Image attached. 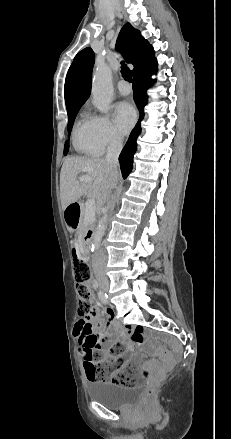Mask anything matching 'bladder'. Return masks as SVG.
<instances>
[{"instance_id":"1","label":"bladder","mask_w":231,"mask_h":439,"mask_svg":"<svg viewBox=\"0 0 231 439\" xmlns=\"http://www.w3.org/2000/svg\"><path fill=\"white\" fill-rule=\"evenodd\" d=\"M88 396L108 408H121L136 400L141 388L134 386L116 385L106 381H95L88 385Z\"/></svg>"}]
</instances>
